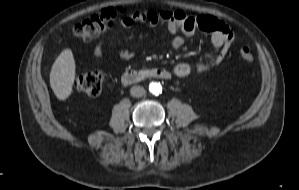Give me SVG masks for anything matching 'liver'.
I'll return each instance as SVG.
<instances>
[{"label": "liver", "instance_id": "liver-1", "mask_svg": "<svg viewBox=\"0 0 299 190\" xmlns=\"http://www.w3.org/2000/svg\"><path fill=\"white\" fill-rule=\"evenodd\" d=\"M74 79V57L71 50L66 49L57 57L50 72V86L59 100L69 97Z\"/></svg>", "mask_w": 299, "mask_h": 190}]
</instances>
